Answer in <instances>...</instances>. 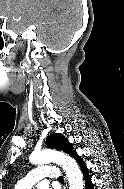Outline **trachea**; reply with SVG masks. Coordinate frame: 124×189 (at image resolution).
Returning a JSON list of instances; mask_svg holds the SVG:
<instances>
[{
	"instance_id": "obj_1",
	"label": "trachea",
	"mask_w": 124,
	"mask_h": 189,
	"mask_svg": "<svg viewBox=\"0 0 124 189\" xmlns=\"http://www.w3.org/2000/svg\"><path fill=\"white\" fill-rule=\"evenodd\" d=\"M59 181H64L62 176L59 177Z\"/></svg>"
}]
</instances>
